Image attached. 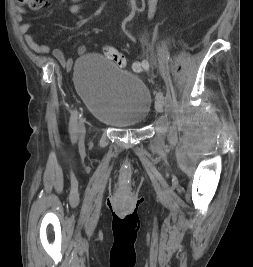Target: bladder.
Segmentation results:
<instances>
[{
  "label": "bladder",
  "mask_w": 253,
  "mask_h": 267,
  "mask_svg": "<svg viewBox=\"0 0 253 267\" xmlns=\"http://www.w3.org/2000/svg\"><path fill=\"white\" fill-rule=\"evenodd\" d=\"M74 75L77 91L96 120L114 127L147 121L152 108L148 87L109 58L86 53L76 60Z\"/></svg>",
  "instance_id": "31cf9c89"
}]
</instances>
